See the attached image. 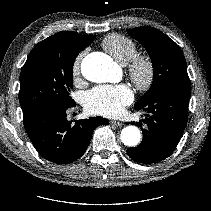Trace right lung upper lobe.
Returning <instances> with one entry per match:
<instances>
[{"label": "right lung upper lobe", "instance_id": "1", "mask_svg": "<svg viewBox=\"0 0 211 211\" xmlns=\"http://www.w3.org/2000/svg\"><path fill=\"white\" fill-rule=\"evenodd\" d=\"M92 37L93 35H80L72 31H61L48 37L44 41L51 44L53 47L57 49H67L71 47H84V46L86 48L89 45V43L93 41Z\"/></svg>", "mask_w": 211, "mask_h": 211}]
</instances>
